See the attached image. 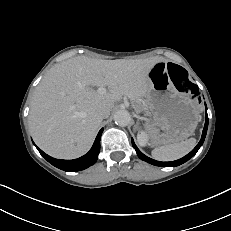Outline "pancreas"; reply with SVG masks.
<instances>
[{
  "label": "pancreas",
  "instance_id": "obj_1",
  "mask_svg": "<svg viewBox=\"0 0 231 231\" xmlns=\"http://www.w3.org/2000/svg\"><path fill=\"white\" fill-rule=\"evenodd\" d=\"M145 110H146V107H144L143 105L139 104L137 106V111L142 112V111H145Z\"/></svg>",
  "mask_w": 231,
  "mask_h": 231
}]
</instances>
